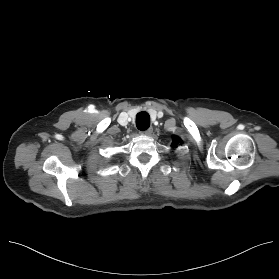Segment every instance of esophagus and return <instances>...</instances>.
<instances>
[{"mask_svg":"<svg viewBox=\"0 0 279 279\" xmlns=\"http://www.w3.org/2000/svg\"><path fill=\"white\" fill-rule=\"evenodd\" d=\"M152 132H153V128L150 127V128H148L147 130L142 131L141 134L150 136V135L152 134Z\"/></svg>","mask_w":279,"mask_h":279,"instance_id":"obj_1","label":"esophagus"}]
</instances>
